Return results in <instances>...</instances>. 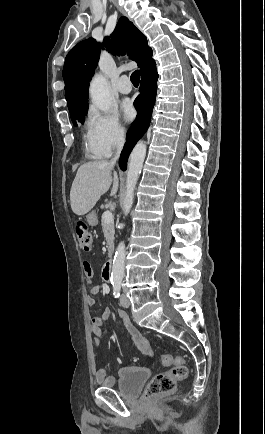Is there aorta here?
Masks as SVG:
<instances>
[{
	"mask_svg": "<svg viewBox=\"0 0 265 434\" xmlns=\"http://www.w3.org/2000/svg\"><path fill=\"white\" fill-rule=\"evenodd\" d=\"M89 94L90 98H92L93 106L99 108L101 112H107V110H110L111 98L108 82L106 78L101 76V74H96V76L92 78ZM146 148L147 146L145 142H138L130 154L126 180V192L123 202L125 216L129 214L132 208L134 190L142 170L143 162L145 160ZM125 258V244L124 242H120L112 262L111 282H122L125 274Z\"/></svg>",
	"mask_w": 265,
	"mask_h": 434,
	"instance_id": "obj_1",
	"label": "aorta"
}]
</instances>
